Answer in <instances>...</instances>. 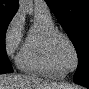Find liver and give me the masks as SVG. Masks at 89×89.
Listing matches in <instances>:
<instances>
[{
	"label": "liver",
	"instance_id": "6515ba94",
	"mask_svg": "<svg viewBox=\"0 0 89 89\" xmlns=\"http://www.w3.org/2000/svg\"><path fill=\"white\" fill-rule=\"evenodd\" d=\"M58 87L61 86L58 84H49L38 78L25 75L0 76V89H59Z\"/></svg>",
	"mask_w": 89,
	"mask_h": 89
}]
</instances>
